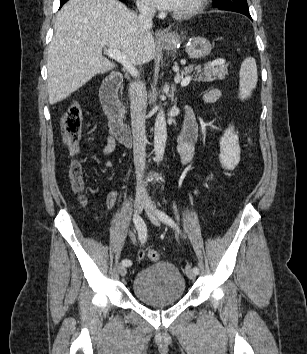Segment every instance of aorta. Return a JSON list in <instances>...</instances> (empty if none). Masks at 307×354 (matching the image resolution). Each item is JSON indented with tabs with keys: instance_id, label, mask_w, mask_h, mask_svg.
<instances>
[{
	"instance_id": "aorta-1",
	"label": "aorta",
	"mask_w": 307,
	"mask_h": 354,
	"mask_svg": "<svg viewBox=\"0 0 307 354\" xmlns=\"http://www.w3.org/2000/svg\"><path fill=\"white\" fill-rule=\"evenodd\" d=\"M167 139V125L163 109H159L154 126V152L155 160L160 162L163 159Z\"/></svg>"
}]
</instances>
